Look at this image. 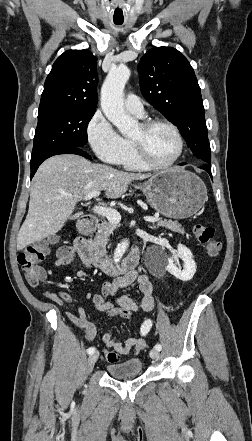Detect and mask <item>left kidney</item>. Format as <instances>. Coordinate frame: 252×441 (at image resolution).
<instances>
[{
    "label": "left kidney",
    "mask_w": 252,
    "mask_h": 441,
    "mask_svg": "<svg viewBox=\"0 0 252 441\" xmlns=\"http://www.w3.org/2000/svg\"><path fill=\"white\" fill-rule=\"evenodd\" d=\"M176 258H180L184 262V269L181 270V268L177 267L173 258H168L166 270L179 280L184 282L191 280L196 273L197 266L193 260V255L190 249L182 244H179L177 246Z\"/></svg>",
    "instance_id": "1"
}]
</instances>
